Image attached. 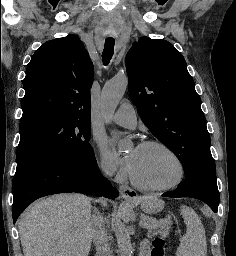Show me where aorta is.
<instances>
[{"label": "aorta", "instance_id": "aorta-1", "mask_svg": "<svg viewBox=\"0 0 236 256\" xmlns=\"http://www.w3.org/2000/svg\"><path fill=\"white\" fill-rule=\"evenodd\" d=\"M128 86V78L125 74H119L108 81L102 90V111L108 120L115 111ZM113 230L117 239L120 256H132L130 234L123 222L121 214H118L112 222Z\"/></svg>", "mask_w": 236, "mask_h": 256}]
</instances>
